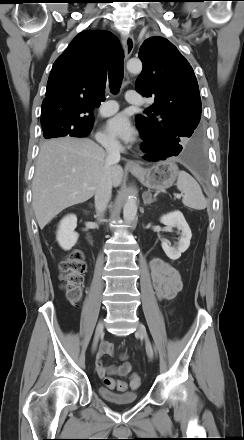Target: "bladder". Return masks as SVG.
<instances>
[{"mask_svg":"<svg viewBox=\"0 0 244 440\" xmlns=\"http://www.w3.org/2000/svg\"><path fill=\"white\" fill-rule=\"evenodd\" d=\"M98 394L103 400L113 404H130L139 399L137 391L114 392L104 386L98 388Z\"/></svg>","mask_w":244,"mask_h":440,"instance_id":"31cf9c89","label":"bladder"}]
</instances>
